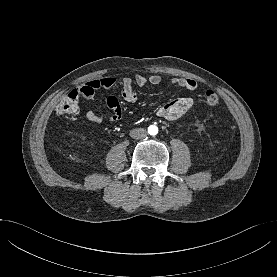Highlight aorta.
Listing matches in <instances>:
<instances>
[{
	"label": "aorta",
	"instance_id": "obj_1",
	"mask_svg": "<svg viewBox=\"0 0 277 277\" xmlns=\"http://www.w3.org/2000/svg\"><path fill=\"white\" fill-rule=\"evenodd\" d=\"M148 132L150 135H156L158 133V128L156 126H150Z\"/></svg>",
	"mask_w": 277,
	"mask_h": 277
}]
</instances>
